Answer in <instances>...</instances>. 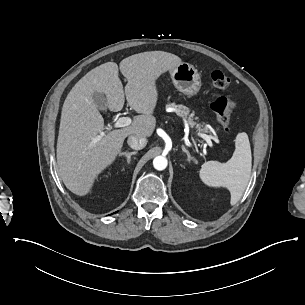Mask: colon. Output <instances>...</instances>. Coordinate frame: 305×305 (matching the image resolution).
<instances>
[{
  "label": "colon",
  "instance_id": "obj_1",
  "mask_svg": "<svg viewBox=\"0 0 305 305\" xmlns=\"http://www.w3.org/2000/svg\"><path fill=\"white\" fill-rule=\"evenodd\" d=\"M211 81L217 89H226L231 83L229 76L220 70L211 73ZM219 124L225 132H231V112L234 109V103L227 97L220 96L215 98L211 103Z\"/></svg>",
  "mask_w": 305,
  "mask_h": 305
}]
</instances>
